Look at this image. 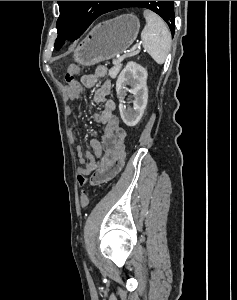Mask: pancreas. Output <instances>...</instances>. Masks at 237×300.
Returning a JSON list of instances; mask_svg holds the SVG:
<instances>
[{"label":"pancreas","mask_w":237,"mask_h":300,"mask_svg":"<svg viewBox=\"0 0 237 300\" xmlns=\"http://www.w3.org/2000/svg\"><path fill=\"white\" fill-rule=\"evenodd\" d=\"M121 67H122V65H120L119 67L114 65V67H112V69H110V71H109V77H112V79H114V77H116V75H118Z\"/></svg>","instance_id":"obj_1"}]
</instances>
